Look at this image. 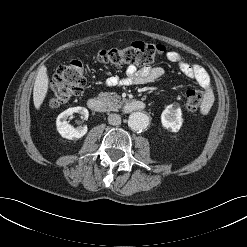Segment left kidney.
Wrapping results in <instances>:
<instances>
[{"mask_svg": "<svg viewBox=\"0 0 247 247\" xmlns=\"http://www.w3.org/2000/svg\"><path fill=\"white\" fill-rule=\"evenodd\" d=\"M161 123L165 129L172 132H178L182 126V111L178 104H170L166 106L161 114Z\"/></svg>", "mask_w": 247, "mask_h": 247, "instance_id": "left-kidney-1", "label": "left kidney"}]
</instances>
